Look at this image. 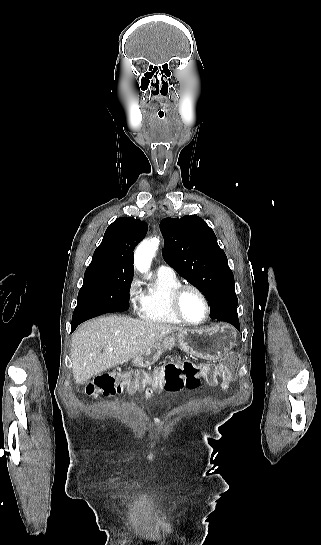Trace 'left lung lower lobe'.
I'll return each instance as SVG.
<instances>
[{
	"label": "left lung lower lobe",
	"mask_w": 321,
	"mask_h": 545,
	"mask_svg": "<svg viewBox=\"0 0 321 545\" xmlns=\"http://www.w3.org/2000/svg\"><path fill=\"white\" fill-rule=\"evenodd\" d=\"M210 317L212 319H217L218 321L228 322L240 330L237 307H232L221 312H210Z\"/></svg>",
	"instance_id": "0a47b994"
}]
</instances>
